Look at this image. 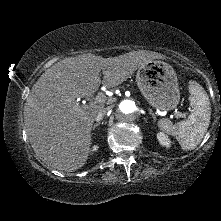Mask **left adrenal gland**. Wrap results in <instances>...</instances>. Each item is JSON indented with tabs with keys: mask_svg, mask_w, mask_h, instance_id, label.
<instances>
[{
	"mask_svg": "<svg viewBox=\"0 0 221 221\" xmlns=\"http://www.w3.org/2000/svg\"><path fill=\"white\" fill-rule=\"evenodd\" d=\"M148 110H149V114L152 115V117L155 119V115H154L152 109L149 108Z\"/></svg>",
	"mask_w": 221,
	"mask_h": 221,
	"instance_id": "1",
	"label": "left adrenal gland"
}]
</instances>
